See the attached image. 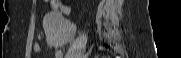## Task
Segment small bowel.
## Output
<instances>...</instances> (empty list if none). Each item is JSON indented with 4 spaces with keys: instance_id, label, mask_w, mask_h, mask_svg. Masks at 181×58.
<instances>
[{
    "instance_id": "c3829d8e",
    "label": "small bowel",
    "mask_w": 181,
    "mask_h": 58,
    "mask_svg": "<svg viewBox=\"0 0 181 58\" xmlns=\"http://www.w3.org/2000/svg\"><path fill=\"white\" fill-rule=\"evenodd\" d=\"M49 4H50L51 8H53L55 10L60 9L63 13H66V14L70 12L69 7L64 5V4H62V2L59 1V0L49 1ZM33 50L35 52H37V53L42 52V48H41V46L39 44H34L33 45ZM55 57L56 58H61L62 57L61 56V52L59 50H56Z\"/></svg>"
}]
</instances>
